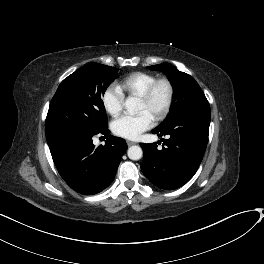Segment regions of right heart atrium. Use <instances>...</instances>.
<instances>
[{
	"mask_svg": "<svg viewBox=\"0 0 264 264\" xmlns=\"http://www.w3.org/2000/svg\"><path fill=\"white\" fill-rule=\"evenodd\" d=\"M102 104L111 116H118L124 107L123 92L118 87H108L102 95Z\"/></svg>",
	"mask_w": 264,
	"mask_h": 264,
	"instance_id": "d8ad5b80",
	"label": "right heart atrium"
}]
</instances>
